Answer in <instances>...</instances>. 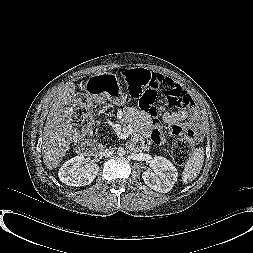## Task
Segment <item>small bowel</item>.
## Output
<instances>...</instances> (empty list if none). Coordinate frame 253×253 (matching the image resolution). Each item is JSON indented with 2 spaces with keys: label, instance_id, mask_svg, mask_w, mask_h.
I'll list each match as a JSON object with an SVG mask.
<instances>
[{
  "label": "small bowel",
  "instance_id": "small-bowel-1",
  "mask_svg": "<svg viewBox=\"0 0 253 253\" xmlns=\"http://www.w3.org/2000/svg\"><path fill=\"white\" fill-rule=\"evenodd\" d=\"M162 76L170 84L182 93L185 91L172 79ZM124 118L127 122L131 123L138 134L150 137L156 145H162L166 142V138L162 133V123L168 125L172 134L180 135L184 132L185 128H190L198 119V115L193 108H183L178 111H166L163 113L161 121L154 119L137 109H127L124 111ZM186 121L183 126L182 122Z\"/></svg>",
  "mask_w": 253,
  "mask_h": 253
}]
</instances>
